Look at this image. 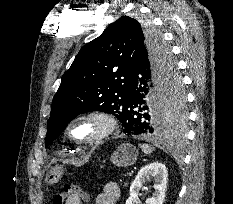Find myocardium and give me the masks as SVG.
<instances>
[{
    "mask_svg": "<svg viewBox=\"0 0 233 204\" xmlns=\"http://www.w3.org/2000/svg\"><path fill=\"white\" fill-rule=\"evenodd\" d=\"M82 122H93L99 125V130L93 136L86 139H76L72 135V129L75 125ZM117 122L115 118L104 111H89L73 117L67 124L65 132L67 137L77 144H93L100 142L110 136L116 129Z\"/></svg>",
    "mask_w": 233,
    "mask_h": 204,
    "instance_id": "f54148a6",
    "label": "myocardium"
}]
</instances>
